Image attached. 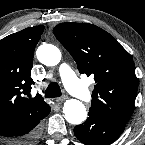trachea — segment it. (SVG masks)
<instances>
[{"label":"trachea","instance_id":"3493384b","mask_svg":"<svg viewBox=\"0 0 145 145\" xmlns=\"http://www.w3.org/2000/svg\"><path fill=\"white\" fill-rule=\"evenodd\" d=\"M61 95V89L56 82L50 83L45 91V97L47 98L60 97Z\"/></svg>","mask_w":145,"mask_h":145}]
</instances>
